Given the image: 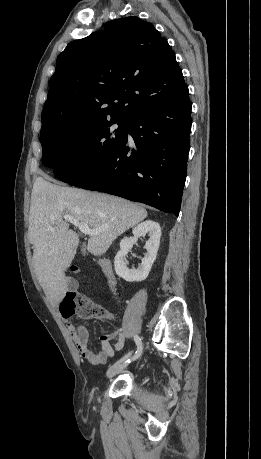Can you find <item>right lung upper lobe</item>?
<instances>
[{"label":"right lung upper lobe","mask_w":261,"mask_h":459,"mask_svg":"<svg viewBox=\"0 0 261 459\" xmlns=\"http://www.w3.org/2000/svg\"><path fill=\"white\" fill-rule=\"evenodd\" d=\"M167 40L137 17L70 42L58 56L42 112L41 133L57 127L127 120L185 86Z\"/></svg>","instance_id":"1"}]
</instances>
